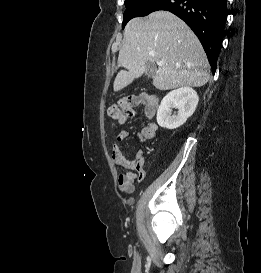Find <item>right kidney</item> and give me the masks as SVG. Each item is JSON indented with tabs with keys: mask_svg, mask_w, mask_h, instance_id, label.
<instances>
[{
	"mask_svg": "<svg viewBox=\"0 0 261 273\" xmlns=\"http://www.w3.org/2000/svg\"><path fill=\"white\" fill-rule=\"evenodd\" d=\"M199 97L191 87H181L169 92L161 101L157 111V123L169 130L182 126L194 113ZM173 108L178 109L176 115H171Z\"/></svg>",
	"mask_w": 261,
	"mask_h": 273,
	"instance_id": "right-kidney-1",
	"label": "right kidney"
}]
</instances>
